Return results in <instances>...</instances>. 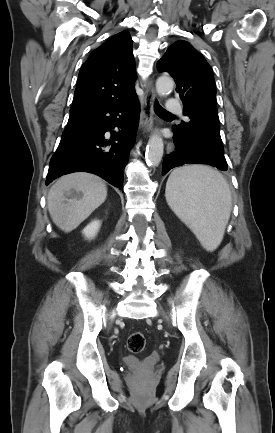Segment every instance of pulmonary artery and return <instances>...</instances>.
<instances>
[{"label": "pulmonary artery", "mask_w": 275, "mask_h": 433, "mask_svg": "<svg viewBox=\"0 0 275 433\" xmlns=\"http://www.w3.org/2000/svg\"><path fill=\"white\" fill-rule=\"evenodd\" d=\"M165 110L170 114H178L181 112V104L177 100L169 98Z\"/></svg>", "instance_id": "1"}]
</instances>
